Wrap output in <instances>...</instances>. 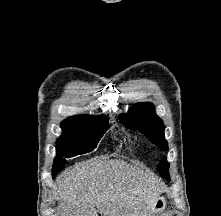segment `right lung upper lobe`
<instances>
[{
  "mask_svg": "<svg viewBox=\"0 0 221 216\" xmlns=\"http://www.w3.org/2000/svg\"><path fill=\"white\" fill-rule=\"evenodd\" d=\"M103 116V115H102ZM91 117H100V116H90V115H79V116H72V117H69L67 119H65L62 123H61V126L62 125H65L67 123H70L74 120H77V119H80V118H91Z\"/></svg>",
  "mask_w": 221,
  "mask_h": 216,
  "instance_id": "obj_1",
  "label": "right lung upper lobe"
}]
</instances>
